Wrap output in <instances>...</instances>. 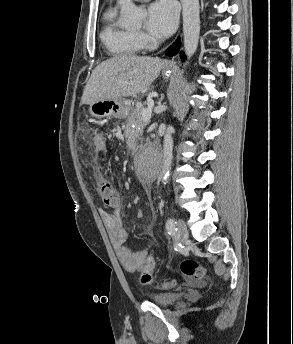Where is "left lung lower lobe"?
Returning <instances> with one entry per match:
<instances>
[{
    "label": "left lung lower lobe",
    "instance_id": "obj_1",
    "mask_svg": "<svg viewBox=\"0 0 293 344\" xmlns=\"http://www.w3.org/2000/svg\"><path fill=\"white\" fill-rule=\"evenodd\" d=\"M180 48V39L178 38L166 51V54L169 56H173L178 53V50ZM181 57L184 60V53L181 52Z\"/></svg>",
    "mask_w": 293,
    "mask_h": 344
}]
</instances>
